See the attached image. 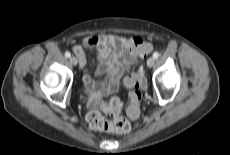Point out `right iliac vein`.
I'll use <instances>...</instances> for the list:
<instances>
[{
    "mask_svg": "<svg viewBox=\"0 0 230 155\" xmlns=\"http://www.w3.org/2000/svg\"><path fill=\"white\" fill-rule=\"evenodd\" d=\"M69 62L72 64V65H77V63H78V61H77V58L76 57H74V56H71L70 58H69Z\"/></svg>",
    "mask_w": 230,
    "mask_h": 155,
    "instance_id": "63e3f726",
    "label": "right iliac vein"
}]
</instances>
